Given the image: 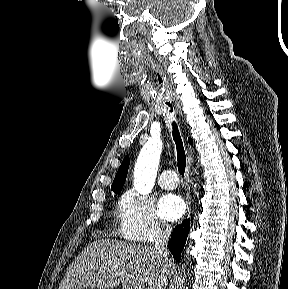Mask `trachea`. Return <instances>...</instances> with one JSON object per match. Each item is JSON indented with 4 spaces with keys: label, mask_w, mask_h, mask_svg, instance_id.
I'll return each instance as SVG.
<instances>
[{
    "label": "trachea",
    "mask_w": 288,
    "mask_h": 289,
    "mask_svg": "<svg viewBox=\"0 0 288 289\" xmlns=\"http://www.w3.org/2000/svg\"><path fill=\"white\" fill-rule=\"evenodd\" d=\"M161 95L163 96L165 93V90L162 89ZM170 108L171 112L173 111L171 104L166 103ZM172 135H173V140L176 144V150H177V166H178V171L181 175H184L185 172V167H186V155L183 147V142L180 136V132L178 130V126L175 122L172 124Z\"/></svg>",
    "instance_id": "obj_1"
}]
</instances>
